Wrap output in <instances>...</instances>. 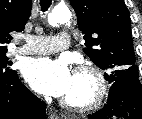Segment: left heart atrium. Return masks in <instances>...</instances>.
<instances>
[{
	"label": "left heart atrium",
	"instance_id": "left-heart-atrium-1",
	"mask_svg": "<svg viewBox=\"0 0 142 119\" xmlns=\"http://www.w3.org/2000/svg\"><path fill=\"white\" fill-rule=\"evenodd\" d=\"M24 78L41 94L63 97L72 86L73 73L64 60L37 58L26 64Z\"/></svg>",
	"mask_w": 142,
	"mask_h": 119
}]
</instances>
